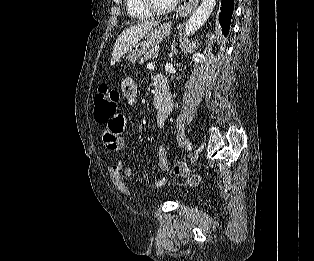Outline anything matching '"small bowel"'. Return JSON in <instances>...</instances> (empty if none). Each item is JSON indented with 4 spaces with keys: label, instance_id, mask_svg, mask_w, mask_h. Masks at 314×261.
Wrapping results in <instances>:
<instances>
[{
    "label": "small bowel",
    "instance_id": "c3829d8e",
    "mask_svg": "<svg viewBox=\"0 0 314 261\" xmlns=\"http://www.w3.org/2000/svg\"><path fill=\"white\" fill-rule=\"evenodd\" d=\"M121 91L124 99L129 105H132L137 96V86L132 76H128L123 79L121 83ZM165 112L158 114L155 117L157 127L161 128L165 125L167 116L169 114ZM128 123V116H124V113H113V116H109V120L104 121V128L101 134V139L104 140L105 151H121L124 150V142L122 141L125 135L124 126ZM158 166L161 172L168 171L167 152L164 146L160 145L157 148ZM109 174L111 180L116 189L123 195L130 196L133 194L130 187L126 184L124 177H131L134 174L132 167H123L122 162H117L109 166ZM167 183V177H163L155 182V187L159 188Z\"/></svg>",
    "mask_w": 314,
    "mask_h": 261
}]
</instances>
